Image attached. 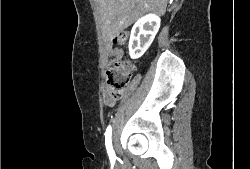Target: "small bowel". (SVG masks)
Segmentation results:
<instances>
[{"label":"small bowel","mask_w":250,"mask_h":169,"mask_svg":"<svg viewBox=\"0 0 250 169\" xmlns=\"http://www.w3.org/2000/svg\"><path fill=\"white\" fill-rule=\"evenodd\" d=\"M109 55L113 57L111 61H109L108 66H112L121 56V50L117 47H113L109 50ZM103 102L107 106H113L115 104L116 99L111 96L109 93L108 87H104L102 91Z\"/></svg>","instance_id":"1"}]
</instances>
